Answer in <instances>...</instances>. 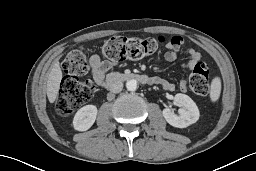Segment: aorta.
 <instances>
[{
    "instance_id": "1",
    "label": "aorta",
    "mask_w": 256,
    "mask_h": 171,
    "mask_svg": "<svg viewBox=\"0 0 256 171\" xmlns=\"http://www.w3.org/2000/svg\"><path fill=\"white\" fill-rule=\"evenodd\" d=\"M137 87H138V82L135 79H131L126 82V88L129 91H135Z\"/></svg>"
}]
</instances>
